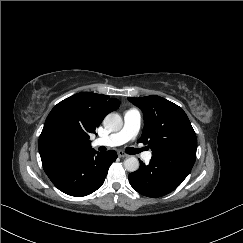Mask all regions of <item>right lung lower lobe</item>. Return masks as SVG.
Returning a JSON list of instances; mask_svg holds the SVG:
<instances>
[{
    "mask_svg": "<svg viewBox=\"0 0 243 243\" xmlns=\"http://www.w3.org/2000/svg\"><path fill=\"white\" fill-rule=\"evenodd\" d=\"M116 158L114 150L106 153L90 150L42 164L45 173L59 190L71 196L82 197L101 187Z\"/></svg>",
    "mask_w": 243,
    "mask_h": 243,
    "instance_id": "right-lung-lower-lobe-1",
    "label": "right lung lower lobe"
}]
</instances>
